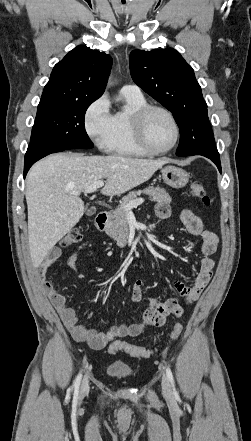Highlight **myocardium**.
<instances>
[{"label":"myocardium","instance_id":"obj_1","mask_svg":"<svg viewBox=\"0 0 251 441\" xmlns=\"http://www.w3.org/2000/svg\"><path fill=\"white\" fill-rule=\"evenodd\" d=\"M154 111H160V112L166 114L169 117V119L171 120L172 125L174 127L175 137H174L173 143L166 149L159 150V149L153 148L147 139L146 122H147V119L150 116V114ZM132 125H133V132H134V136L136 138V141L138 142V144L140 145V147L143 150H145L147 153L152 154V155H163V154L169 153L177 146V144L180 140V127H179L178 121H177L176 117L174 116V114L169 109H167L166 107H163V106L147 105V106L139 109L133 116Z\"/></svg>","mask_w":251,"mask_h":441}]
</instances>
